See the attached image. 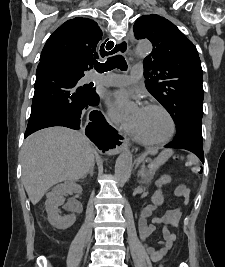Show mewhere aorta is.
Returning <instances> with one entry per match:
<instances>
[{
    "label": "aorta",
    "mask_w": 225,
    "mask_h": 267,
    "mask_svg": "<svg viewBox=\"0 0 225 267\" xmlns=\"http://www.w3.org/2000/svg\"><path fill=\"white\" fill-rule=\"evenodd\" d=\"M152 45L150 42H139L135 47V54L138 57H143L150 53ZM132 155L130 152H124L119 155L115 164V178L120 184H124L131 172Z\"/></svg>",
    "instance_id": "obj_1"
}]
</instances>
